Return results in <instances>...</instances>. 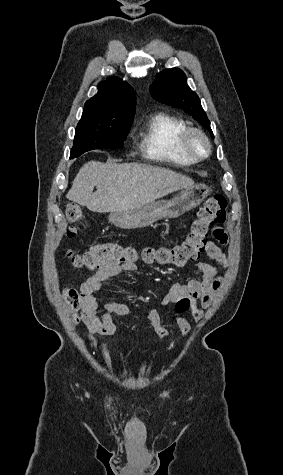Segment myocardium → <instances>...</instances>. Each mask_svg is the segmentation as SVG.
Masks as SVG:
<instances>
[{
  "mask_svg": "<svg viewBox=\"0 0 283 475\" xmlns=\"http://www.w3.org/2000/svg\"><path fill=\"white\" fill-rule=\"evenodd\" d=\"M194 136H197L203 140L206 146L205 152L200 153L192 148L191 141ZM173 146L177 151L183 153L185 156L195 161H201L208 158L212 152V144L210 139L204 133V131H202L198 127H188L185 131L181 133V135L178 137L176 143ZM167 148L168 145L163 146V150L161 153L162 158L169 162H180V158L176 154L168 151Z\"/></svg>",
  "mask_w": 283,
  "mask_h": 475,
  "instance_id": "myocardium-1",
  "label": "myocardium"
}]
</instances>
